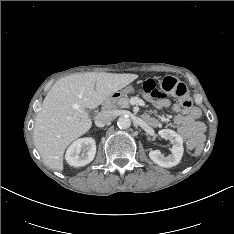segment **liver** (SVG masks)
<instances>
[{
	"instance_id": "obj_1",
	"label": "liver",
	"mask_w": 234,
	"mask_h": 234,
	"mask_svg": "<svg viewBox=\"0 0 234 234\" xmlns=\"http://www.w3.org/2000/svg\"><path fill=\"white\" fill-rule=\"evenodd\" d=\"M137 77L129 73L85 72L58 80L35 119L33 141L44 163L62 171L65 149L92 126L86 108L98 107Z\"/></svg>"
}]
</instances>
